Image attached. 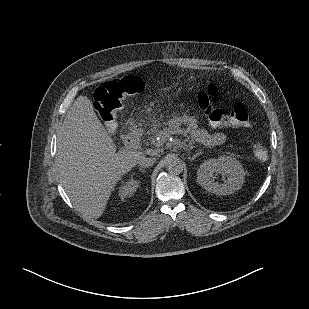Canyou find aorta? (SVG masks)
Returning <instances> with one entry per match:
<instances>
[{
	"mask_svg": "<svg viewBox=\"0 0 309 309\" xmlns=\"http://www.w3.org/2000/svg\"><path fill=\"white\" fill-rule=\"evenodd\" d=\"M166 169L169 173L178 175L183 172V162L176 156H169L166 159Z\"/></svg>",
	"mask_w": 309,
	"mask_h": 309,
	"instance_id": "aorta-1",
	"label": "aorta"
}]
</instances>
